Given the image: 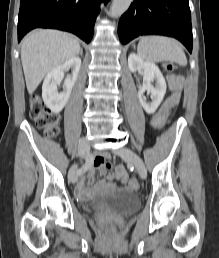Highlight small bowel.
Here are the masks:
<instances>
[{
  "label": "small bowel",
  "mask_w": 219,
  "mask_h": 258,
  "mask_svg": "<svg viewBox=\"0 0 219 258\" xmlns=\"http://www.w3.org/2000/svg\"><path fill=\"white\" fill-rule=\"evenodd\" d=\"M167 81L171 89L175 91V93H170L169 96H165L164 109H173L174 105H180V101H182V96H178L179 91L181 90L184 84V78L181 75L171 74L167 76ZM164 111V110H163ZM167 111V110H165ZM92 165L94 168H97L101 174H103V179L112 178V175L104 174L108 167H114V162H106V155H96L92 159ZM94 168L90 169L87 173L86 177L80 179L79 184L77 186V194L79 196H84L87 194V183H90L94 179L95 170ZM114 174L118 177V179H129L130 175L128 171H126V167H114ZM123 183H126V180H123Z\"/></svg>",
  "instance_id": "small-bowel-1"
}]
</instances>
